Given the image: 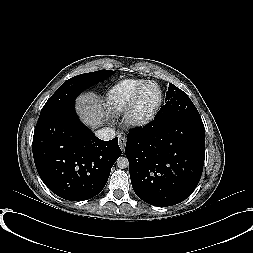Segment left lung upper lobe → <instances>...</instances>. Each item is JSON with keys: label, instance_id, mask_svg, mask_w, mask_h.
Here are the masks:
<instances>
[{"label": "left lung upper lobe", "instance_id": "left-lung-upper-lobe-1", "mask_svg": "<svg viewBox=\"0 0 253 253\" xmlns=\"http://www.w3.org/2000/svg\"><path fill=\"white\" fill-rule=\"evenodd\" d=\"M163 105L154 119L160 120L170 116H196L199 115L196 107L185 92L169 83Z\"/></svg>", "mask_w": 253, "mask_h": 253}]
</instances>
